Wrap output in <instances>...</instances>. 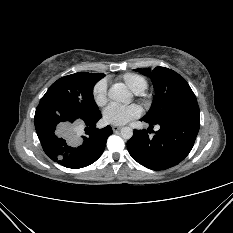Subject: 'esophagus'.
Listing matches in <instances>:
<instances>
[{
	"label": "esophagus",
	"instance_id": "34e87169",
	"mask_svg": "<svg viewBox=\"0 0 233 233\" xmlns=\"http://www.w3.org/2000/svg\"><path fill=\"white\" fill-rule=\"evenodd\" d=\"M121 129V126H112V130L115 132V131H119Z\"/></svg>",
	"mask_w": 233,
	"mask_h": 233
}]
</instances>
